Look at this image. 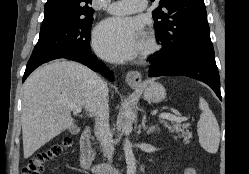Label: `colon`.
Returning <instances> with one entry per match:
<instances>
[{
	"label": "colon",
	"instance_id": "colon-1",
	"mask_svg": "<svg viewBox=\"0 0 249 174\" xmlns=\"http://www.w3.org/2000/svg\"><path fill=\"white\" fill-rule=\"evenodd\" d=\"M71 144V138L65 136L59 143L52 145L46 151L34 154L26 163L22 170V174H43L45 164L60 156Z\"/></svg>",
	"mask_w": 249,
	"mask_h": 174
}]
</instances>
